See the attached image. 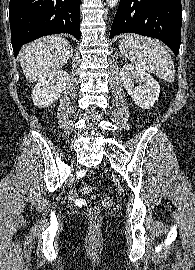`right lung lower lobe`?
Instances as JSON below:
<instances>
[{"mask_svg":"<svg viewBox=\"0 0 195 270\" xmlns=\"http://www.w3.org/2000/svg\"><path fill=\"white\" fill-rule=\"evenodd\" d=\"M81 0H10L11 42L16 57L25 43L69 33L80 38Z\"/></svg>","mask_w":195,"mask_h":270,"instance_id":"98d812e1","label":"right lung lower lobe"}]
</instances>
